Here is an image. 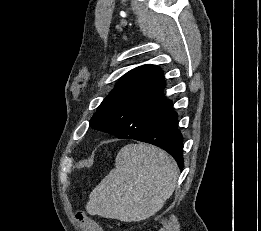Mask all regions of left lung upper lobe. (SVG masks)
Instances as JSON below:
<instances>
[{"instance_id": "5c2ea615", "label": "left lung upper lobe", "mask_w": 261, "mask_h": 231, "mask_svg": "<svg viewBox=\"0 0 261 231\" xmlns=\"http://www.w3.org/2000/svg\"><path fill=\"white\" fill-rule=\"evenodd\" d=\"M162 71L146 64L127 72L102 101L90 126L118 138L142 135L172 102L167 99Z\"/></svg>"}]
</instances>
